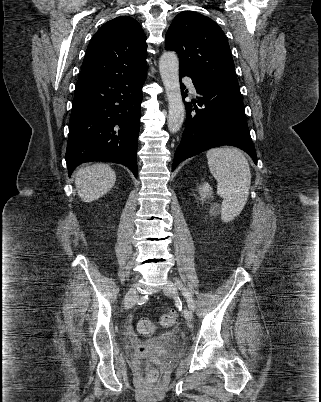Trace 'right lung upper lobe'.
<instances>
[{
  "label": "right lung upper lobe",
  "instance_id": "1",
  "mask_svg": "<svg viewBox=\"0 0 321 402\" xmlns=\"http://www.w3.org/2000/svg\"><path fill=\"white\" fill-rule=\"evenodd\" d=\"M146 49V35L135 19H112L92 37L78 82L143 73L147 71Z\"/></svg>",
  "mask_w": 321,
  "mask_h": 402
}]
</instances>
